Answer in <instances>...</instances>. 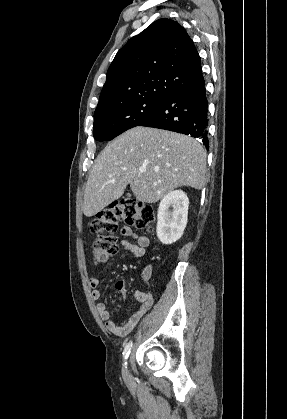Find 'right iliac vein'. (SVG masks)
Wrapping results in <instances>:
<instances>
[{"instance_id":"obj_1","label":"right iliac vein","mask_w":287,"mask_h":419,"mask_svg":"<svg viewBox=\"0 0 287 419\" xmlns=\"http://www.w3.org/2000/svg\"><path fill=\"white\" fill-rule=\"evenodd\" d=\"M123 376H124L125 378H127V377L129 376V372H128L127 368H124V369H123Z\"/></svg>"}]
</instances>
